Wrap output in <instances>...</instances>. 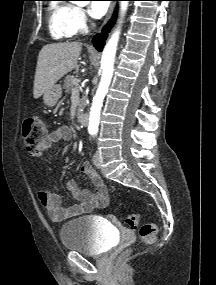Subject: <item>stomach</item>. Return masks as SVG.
Masks as SVG:
<instances>
[{"mask_svg": "<svg viewBox=\"0 0 216 285\" xmlns=\"http://www.w3.org/2000/svg\"><path fill=\"white\" fill-rule=\"evenodd\" d=\"M62 88L61 85L55 84L48 91L43 93L44 104L48 107L56 105L58 100L61 98Z\"/></svg>", "mask_w": 216, "mask_h": 285, "instance_id": "0dacf381", "label": "stomach"}]
</instances>
